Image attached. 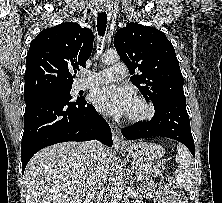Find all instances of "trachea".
Returning a JSON list of instances; mask_svg holds the SVG:
<instances>
[{
    "mask_svg": "<svg viewBox=\"0 0 222 203\" xmlns=\"http://www.w3.org/2000/svg\"><path fill=\"white\" fill-rule=\"evenodd\" d=\"M107 27V14L105 12H101L98 14L97 18V31L99 36H104Z\"/></svg>",
    "mask_w": 222,
    "mask_h": 203,
    "instance_id": "obj_1",
    "label": "trachea"
}]
</instances>
